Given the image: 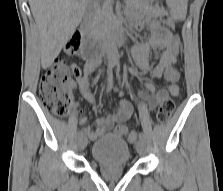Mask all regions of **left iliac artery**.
Segmentation results:
<instances>
[{
  "mask_svg": "<svg viewBox=\"0 0 223 191\" xmlns=\"http://www.w3.org/2000/svg\"><path fill=\"white\" fill-rule=\"evenodd\" d=\"M139 139L145 141V135L143 133H139Z\"/></svg>",
  "mask_w": 223,
  "mask_h": 191,
  "instance_id": "1",
  "label": "left iliac artery"
}]
</instances>
